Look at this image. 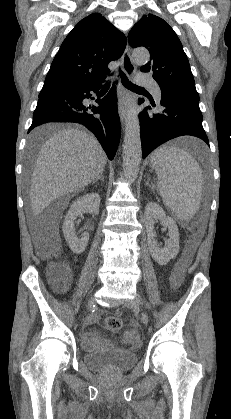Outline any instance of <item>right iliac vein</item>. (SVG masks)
<instances>
[{
	"label": "right iliac vein",
	"mask_w": 231,
	"mask_h": 419,
	"mask_svg": "<svg viewBox=\"0 0 231 419\" xmlns=\"http://www.w3.org/2000/svg\"><path fill=\"white\" fill-rule=\"evenodd\" d=\"M94 304V297H91L87 303V308H90Z\"/></svg>",
	"instance_id": "1"
}]
</instances>
